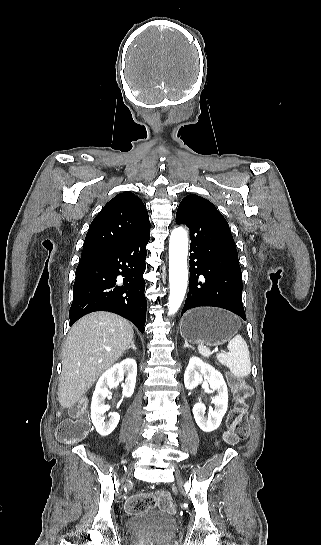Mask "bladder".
Returning <instances> with one entry per match:
<instances>
[{
    "mask_svg": "<svg viewBox=\"0 0 321 545\" xmlns=\"http://www.w3.org/2000/svg\"><path fill=\"white\" fill-rule=\"evenodd\" d=\"M175 527L176 521L171 515L152 509L134 513L126 522L127 531L133 537L168 534Z\"/></svg>",
    "mask_w": 321,
    "mask_h": 545,
    "instance_id": "bladder-1",
    "label": "bladder"
}]
</instances>
